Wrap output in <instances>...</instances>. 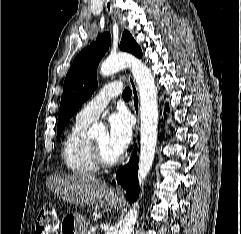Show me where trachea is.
<instances>
[{"label": "trachea", "mask_w": 241, "mask_h": 234, "mask_svg": "<svg viewBox=\"0 0 241 234\" xmlns=\"http://www.w3.org/2000/svg\"><path fill=\"white\" fill-rule=\"evenodd\" d=\"M123 98L130 99L131 98V90L129 87H126L123 91Z\"/></svg>", "instance_id": "trachea-1"}]
</instances>
